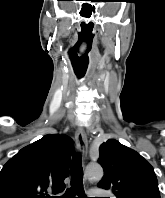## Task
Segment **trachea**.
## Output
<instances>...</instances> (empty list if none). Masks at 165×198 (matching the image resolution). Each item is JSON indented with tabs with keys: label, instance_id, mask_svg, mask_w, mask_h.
Listing matches in <instances>:
<instances>
[{
	"label": "trachea",
	"instance_id": "obj_1",
	"mask_svg": "<svg viewBox=\"0 0 165 198\" xmlns=\"http://www.w3.org/2000/svg\"><path fill=\"white\" fill-rule=\"evenodd\" d=\"M83 170L82 162L79 155H75L71 162V187L66 190L63 198H87L83 189Z\"/></svg>",
	"mask_w": 165,
	"mask_h": 198
}]
</instances>
